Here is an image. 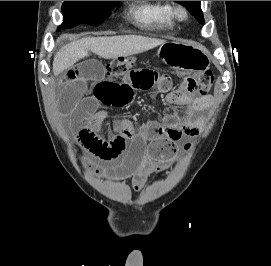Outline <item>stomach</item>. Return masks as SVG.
I'll use <instances>...</instances> for the list:
<instances>
[{
  "mask_svg": "<svg viewBox=\"0 0 271 266\" xmlns=\"http://www.w3.org/2000/svg\"><path fill=\"white\" fill-rule=\"evenodd\" d=\"M157 56L175 70L203 71L209 68L206 50L190 41H169L162 44Z\"/></svg>",
  "mask_w": 271,
  "mask_h": 266,
  "instance_id": "1",
  "label": "stomach"
}]
</instances>
